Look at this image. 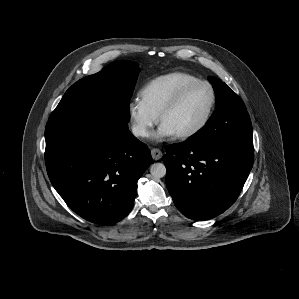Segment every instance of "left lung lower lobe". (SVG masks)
<instances>
[{
  "mask_svg": "<svg viewBox=\"0 0 299 299\" xmlns=\"http://www.w3.org/2000/svg\"><path fill=\"white\" fill-rule=\"evenodd\" d=\"M253 161V143L186 140L166 147V185L182 214L193 220L211 219L236 201Z\"/></svg>",
  "mask_w": 299,
  "mask_h": 299,
  "instance_id": "1",
  "label": "left lung lower lobe"
}]
</instances>
